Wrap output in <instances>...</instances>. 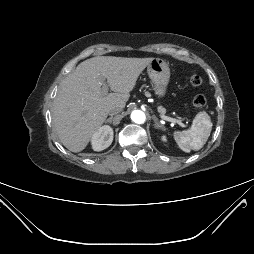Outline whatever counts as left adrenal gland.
Instances as JSON below:
<instances>
[{"mask_svg": "<svg viewBox=\"0 0 254 254\" xmlns=\"http://www.w3.org/2000/svg\"><path fill=\"white\" fill-rule=\"evenodd\" d=\"M152 118H153V120L155 122V124H154L155 128H157V129H159V128L160 129H164V127L159 123V121H158V119H157V117L155 115H153Z\"/></svg>", "mask_w": 254, "mask_h": 254, "instance_id": "left-adrenal-gland-1", "label": "left adrenal gland"}]
</instances>
